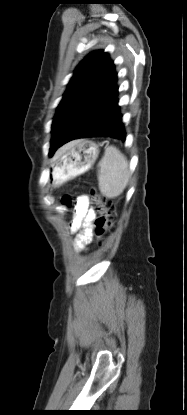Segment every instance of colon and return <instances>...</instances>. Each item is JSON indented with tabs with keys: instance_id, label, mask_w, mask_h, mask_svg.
Instances as JSON below:
<instances>
[{
	"instance_id": "1",
	"label": "colon",
	"mask_w": 187,
	"mask_h": 415,
	"mask_svg": "<svg viewBox=\"0 0 187 415\" xmlns=\"http://www.w3.org/2000/svg\"><path fill=\"white\" fill-rule=\"evenodd\" d=\"M91 196L96 205L97 217L93 225V233L97 238H102L112 227L113 202L110 198L101 195L96 189H92Z\"/></svg>"
}]
</instances>
